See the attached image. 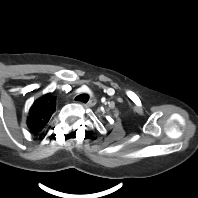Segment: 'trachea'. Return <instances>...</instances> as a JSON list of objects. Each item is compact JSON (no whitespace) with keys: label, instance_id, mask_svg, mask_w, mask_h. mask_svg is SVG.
<instances>
[{"label":"trachea","instance_id":"3493384b","mask_svg":"<svg viewBox=\"0 0 198 198\" xmlns=\"http://www.w3.org/2000/svg\"><path fill=\"white\" fill-rule=\"evenodd\" d=\"M75 100L81 101L83 103H87L89 100V95L88 94H80V95L76 96Z\"/></svg>","mask_w":198,"mask_h":198}]
</instances>
